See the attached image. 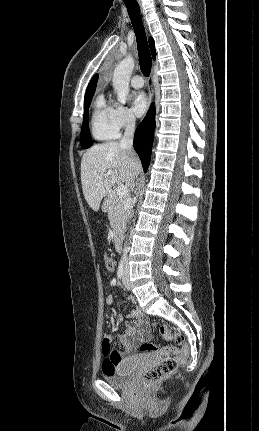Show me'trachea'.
I'll list each match as a JSON object with an SVG mask.
<instances>
[{
	"mask_svg": "<svg viewBox=\"0 0 259 431\" xmlns=\"http://www.w3.org/2000/svg\"><path fill=\"white\" fill-rule=\"evenodd\" d=\"M137 39L139 65L142 73L149 76L152 59L146 38L145 29L140 16V8L135 0H124Z\"/></svg>",
	"mask_w": 259,
	"mask_h": 431,
	"instance_id": "3493384b",
	"label": "trachea"
}]
</instances>
